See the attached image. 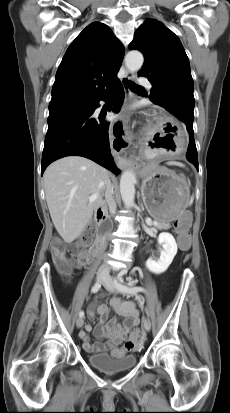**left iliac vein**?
<instances>
[{"label": "left iliac vein", "mask_w": 230, "mask_h": 413, "mask_svg": "<svg viewBox=\"0 0 230 413\" xmlns=\"http://www.w3.org/2000/svg\"><path fill=\"white\" fill-rule=\"evenodd\" d=\"M103 286L105 287L106 290H108L111 293H116L117 289L115 287V284L110 276H107L105 280L102 282ZM143 327L146 331H150L151 329V322L148 317L144 318L143 320Z\"/></svg>", "instance_id": "1"}]
</instances>
